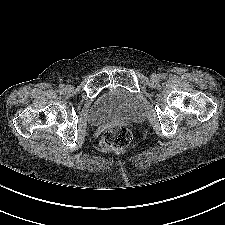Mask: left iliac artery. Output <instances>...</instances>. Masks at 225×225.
I'll use <instances>...</instances> for the list:
<instances>
[{"label":"left iliac artery","mask_w":225,"mask_h":225,"mask_svg":"<svg viewBox=\"0 0 225 225\" xmlns=\"http://www.w3.org/2000/svg\"><path fill=\"white\" fill-rule=\"evenodd\" d=\"M160 78L161 79L165 78V75L164 74L160 75Z\"/></svg>","instance_id":"left-iliac-artery-1"}]
</instances>
